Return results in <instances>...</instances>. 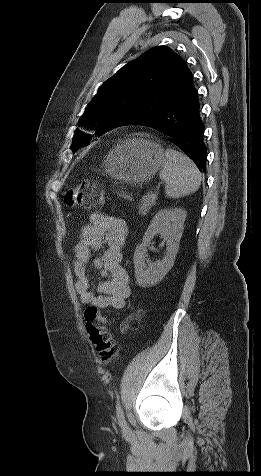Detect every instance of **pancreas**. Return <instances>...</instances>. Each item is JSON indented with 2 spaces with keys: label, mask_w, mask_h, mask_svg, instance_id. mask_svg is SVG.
<instances>
[{
  "label": "pancreas",
  "mask_w": 261,
  "mask_h": 476,
  "mask_svg": "<svg viewBox=\"0 0 261 476\" xmlns=\"http://www.w3.org/2000/svg\"><path fill=\"white\" fill-rule=\"evenodd\" d=\"M156 204L155 199L152 197V194H147L142 197L140 200L138 213L141 215H146L147 212Z\"/></svg>",
  "instance_id": "cf45deb5"
}]
</instances>
